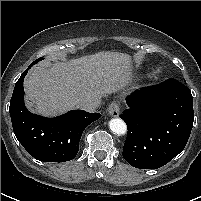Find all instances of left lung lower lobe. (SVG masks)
Instances as JSON below:
<instances>
[{
	"mask_svg": "<svg viewBox=\"0 0 201 201\" xmlns=\"http://www.w3.org/2000/svg\"><path fill=\"white\" fill-rule=\"evenodd\" d=\"M120 115L128 127L124 159L139 169H157L185 147L194 121L193 97L176 79L144 87L126 99Z\"/></svg>",
	"mask_w": 201,
	"mask_h": 201,
	"instance_id": "obj_1",
	"label": "left lung lower lobe"
}]
</instances>
